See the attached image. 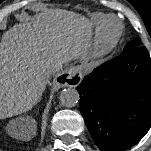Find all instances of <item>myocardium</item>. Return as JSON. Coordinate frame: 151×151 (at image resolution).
Segmentation results:
<instances>
[{
	"mask_svg": "<svg viewBox=\"0 0 151 151\" xmlns=\"http://www.w3.org/2000/svg\"><path fill=\"white\" fill-rule=\"evenodd\" d=\"M111 22H116L114 29L110 28ZM122 30V24L115 17H106L101 22L92 44V55L96 58H103L111 53L121 37Z\"/></svg>",
	"mask_w": 151,
	"mask_h": 151,
	"instance_id": "1",
	"label": "myocardium"
}]
</instances>
